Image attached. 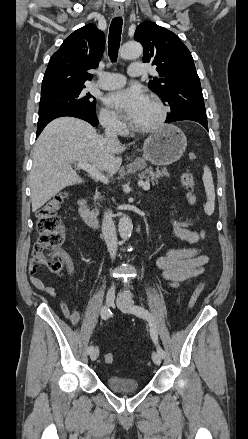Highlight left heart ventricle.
Here are the masks:
<instances>
[{"mask_svg": "<svg viewBox=\"0 0 248 439\" xmlns=\"http://www.w3.org/2000/svg\"><path fill=\"white\" fill-rule=\"evenodd\" d=\"M158 115L159 111L157 107L148 100L143 112L134 124L137 126L150 125L158 118Z\"/></svg>", "mask_w": 248, "mask_h": 439, "instance_id": "obj_1", "label": "left heart ventricle"}]
</instances>
